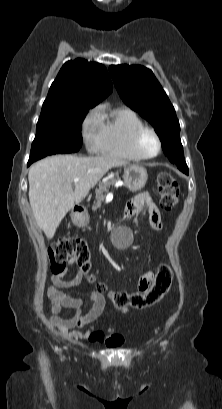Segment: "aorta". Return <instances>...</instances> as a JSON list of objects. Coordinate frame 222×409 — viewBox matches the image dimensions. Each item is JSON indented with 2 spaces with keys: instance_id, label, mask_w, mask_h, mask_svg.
<instances>
[{
  "instance_id": "obj_1",
  "label": "aorta",
  "mask_w": 222,
  "mask_h": 409,
  "mask_svg": "<svg viewBox=\"0 0 222 409\" xmlns=\"http://www.w3.org/2000/svg\"><path fill=\"white\" fill-rule=\"evenodd\" d=\"M122 234H123L124 236H127V231H122ZM124 245H126V243H125Z\"/></svg>"
}]
</instances>
